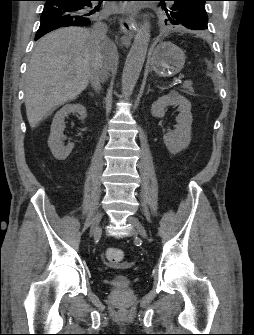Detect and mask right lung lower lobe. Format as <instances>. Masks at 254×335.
<instances>
[{
	"mask_svg": "<svg viewBox=\"0 0 254 335\" xmlns=\"http://www.w3.org/2000/svg\"><path fill=\"white\" fill-rule=\"evenodd\" d=\"M41 24L35 40L60 27L86 26L95 12L92 1L95 0H44Z\"/></svg>",
	"mask_w": 254,
	"mask_h": 335,
	"instance_id": "1",
	"label": "right lung lower lobe"
}]
</instances>
